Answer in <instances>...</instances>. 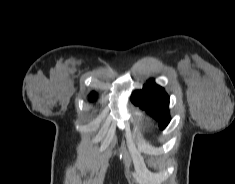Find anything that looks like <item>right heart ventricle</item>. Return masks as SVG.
Segmentation results:
<instances>
[{"label":"right heart ventricle","mask_w":235,"mask_h":184,"mask_svg":"<svg viewBox=\"0 0 235 184\" xmlns=\"http://www.w3.org/2000/svg\"><path fill=\"white\" fill-rule=\"evenodd\" d=\"M134 122H135V125L138 129H140L141 131L149 134L150 133V128H151V125L148 121V118L146 117V115L137 110L134 112Z\"/></svg>","instance_id":"e07e8e85"}]
</instances>
